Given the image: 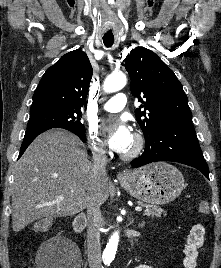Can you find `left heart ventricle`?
I'll return each mask as SVG.
<instances>
[{"label":"left heart ventricle","mask_w":221,"mask_h":268,"mask_svg":"<svg viewBox=\"0 0 221 268\" xmlns=\"http://www.w3.org/2000/svg\"><path fill=\"white\" fill-rule=\"evenodd\" d=\"M134 146H135V140H134V137H133L130 146L127 148V150L124 153H128V152L132 151Z\"/></svg>","instance_id":"b2bd125f"}]
</instances>
